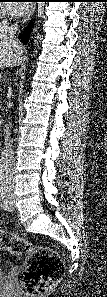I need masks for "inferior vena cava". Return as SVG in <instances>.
<instances>
[{"label": "inferior vena cava", "instance_id": "602c4592", "mask_svg": "<svg viewBox=\"0 0 107 297\" xmlns=\"http://www.w3.org/2000/svg\"><path fill=\"white\" fill-rule=\"evenodd\" d=\"M18 31V24L8 25L7 21L3 22V25L0 30V36L3 38H8L11 42L16 43L17 39L15 37L16 32ZM1 171L6 176V180L11 182L14 174V157L13 150L9 140L5 142L4 154L2 157Z\"/></svg>", "mask_w": 107, "mask_h": 297}]
</instances>
